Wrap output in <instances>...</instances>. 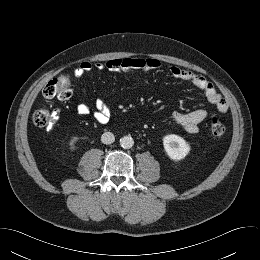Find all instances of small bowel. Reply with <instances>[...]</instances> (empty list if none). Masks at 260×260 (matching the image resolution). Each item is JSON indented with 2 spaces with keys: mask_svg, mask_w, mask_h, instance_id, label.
<instances>
[{
  "mask_svg": "<svg viewBox=\"0 0 260 260\" xmlns=\"http://www.w3.org/2000/svg\"><path fill=\"white\" fill-rule=\"evenodd\" d=\"M92 64L88 61L81 62L73 71L77 78L83 77L92 69ZM97 70L107 69L112 72H151L161 68V63L157 59L148 57H125L122 59H111L105 63H96ZM169 73L176 79L186 81L194 85L205 93L206 98L214 104L220 113H225L228 109L226 100L218 93L213 84L203 76L177 66H170ZM77 114L81 117L89 114V107L85 103H80L77 107ZM109 107L101 100L96 103L94 118L99 124H106L110 118ZM207 117L204 109H196L187 113L175 112L173 121L188 133H197L199 124Z\"/></svg>",
  "mask_w": 260,
  "mask_h": 260,
  "instance_id": "c3829d8e",
  "label": "small bowel"
}]
</instances>
